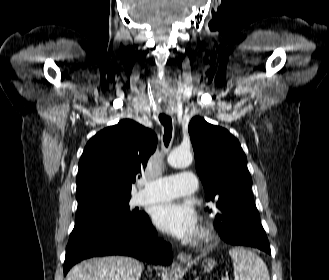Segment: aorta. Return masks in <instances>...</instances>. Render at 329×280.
<instances>
[{
    "instance_id": "762f6f07",
    "label": "aorta",
    "mask_w": 329,
    "mask_h": 280,
    "mask_svg": "<svg viewBox=\"0 0 329 280\" xmlns=\"http://www.w3.org/2000/svg\"><path fill=\"white\" fill-rule=\"evenodd\" d=\"M192 160V154L188 149H174L168 156V163L174 168L187 167L192 163Z\"/></svg>"
}]
</instances>
